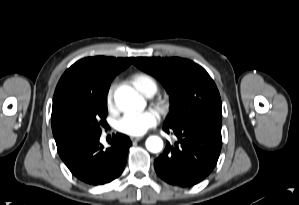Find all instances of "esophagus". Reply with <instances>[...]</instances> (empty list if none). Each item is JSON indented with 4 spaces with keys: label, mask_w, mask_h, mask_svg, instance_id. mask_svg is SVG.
<instances>
[{
    "label": "esophagus",
    "mask_w": 299,
    "mask_h": 205,
    "mask_svg": "<svg viewBox=\"0 0 299 205\" xmlns=\"http://www.w3.org/2000/svg\"><path fill=\"white\" fill-rule=\"evenodd\" d=\"M131 141L136 142L142 139V137H138V136H131L130 137Z\"/></svg>",
    "instance_id": "esophagus-1"
}]
</instances>
